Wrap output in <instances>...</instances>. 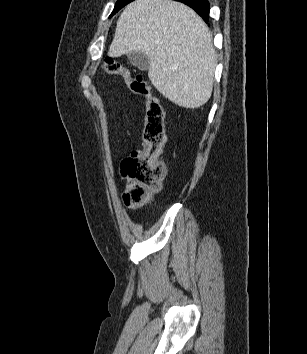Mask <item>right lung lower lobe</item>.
<instances>
[{"label": "right lung lower lobe", "mask_w": 307, "mask_h": 354, "mask_svg": "<svg viewBox=\"0 0 307 354\" xmlns=\"http://www.w3.org/2000/svg\"><path fill=\"white\" fill-rule=\"evenodd\" d=\"M193 8L206 22L209 18L210 5L208 0H176Z\"/></svg>", "instance_id": "98d812e1"}]
</instances>
